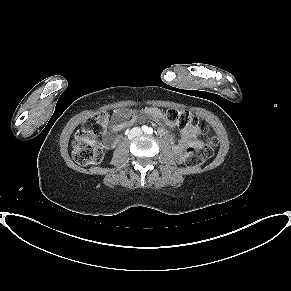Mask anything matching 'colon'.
Returning a JSON list of instances; mask_svg holds the SVG:
<instances>
[{"instance_id": "colon-1", "label": "colon", "mask_w": 291, "mask_h": 291, "mask_svg": "<svg viewBox=\"0 0 291 291\" xmlns=\"http://www.w3.org/2000/svg\"><path fill=\"white\" fill-rule=\"evenodd\" d=\"M164 114L166 120L179 128L197 127L203 134H207V128L199 124L198 119L189 111L171 108ZM109 115L100 112L90 117L77 131L72 146V157L79 165H94L102 160V149L96 142V138L106 132ZM218 144L216 136H207L202 151L189 148L185 155L187 167H198L203 164L205 158L210 157Z\"/></svg>"}]
</instances>
